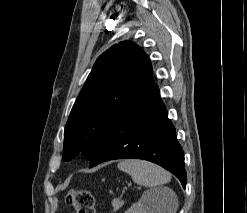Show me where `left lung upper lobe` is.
I'll list each match as a JSON object with an SVG mask.
<instances>
[{
    "label": "left lung upper lobe",
    "instance_id": "5c2ea615",
    "mask_svg": "<svg viewBox=\"0 0 247 213\" xmlns=\"http://www.w3.org/2000/svg\"><path fill=\"white\" fill-rule=\"evenodd\" d=\"M152 68L136 44L123 41L96 60L65 126L63 160H90L103 138L137 98Z\"/></svg>",
    "mask_w": 247,
    "mask_h": 213
}]
</instances>
